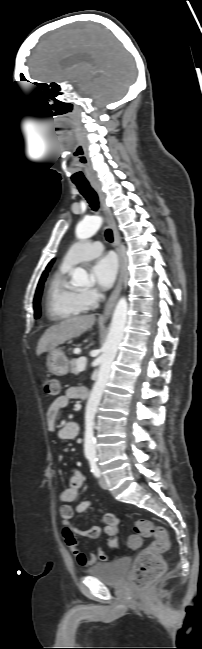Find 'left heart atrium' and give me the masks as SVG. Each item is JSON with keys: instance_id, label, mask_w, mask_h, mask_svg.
I'll use <instances>...</instances> for the list:
<instances>
[{"instance_id": "obj_1", "label": "left heart atrium", "mask_w": 202, "mask_h": 649, "mask_svg": "<svg viewBox=\"0 0 202 649\" xmlns=\"http://www.w3.org/2000/svg\"><path fill=\"white\" fill-rule=\"evenodd\" d=\"M118 272L117 259L113 254H106L98 258L92 268L91 274L94 281L103 289L112 286Z\"/></svg>"}]
</instances>
